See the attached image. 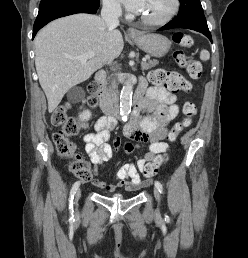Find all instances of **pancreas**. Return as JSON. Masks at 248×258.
<instances>
[{
  "instance_id": "1",
  "label": "pancreas",
  "mask_w": 248,
  "mask_h": 258,
  "mask_svg": "<svg viewBox=\"0 0 248 258\" xmlns=\"http://www.w3.org/2000/svg\"><path fill=\"white\" fill-rule=\"evenodd\" d=\"M157 61L156 60H148L146 62H142V69L143 70H148L151 69L153 67H155L157 65ZM116 81H113V85H115Z\"/></svg>"
}]
</instances>
